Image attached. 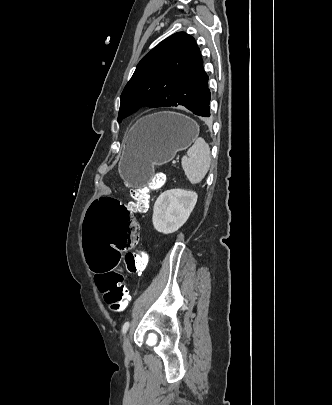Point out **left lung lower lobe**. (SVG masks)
<instances>
[{
  "label": "left lung lower lobe",
  "mask_w": 332,
  "mask_h": 405,
  "mask_svg": "<svg viewBox=\"0 0 332 405\" xmlns=\"http://www.w3.org/2000/svg\"><path fill=\"white\" fill-rule=\"evenodd\" d=\"M210 90L208 87V75L205 73L200 81L194 102L190 108L194 114L202 117H210Z\"/></svg>",
  "instance_id": "0a47b994"
}]
</instances>
